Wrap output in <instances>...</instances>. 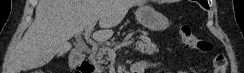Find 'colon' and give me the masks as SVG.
Here are the masks:
<instances>
[{
	"label": "colon",
	"mask_w": 244,
	"mask_h": 73,
	"mask_svg": "<svg viewBox=\"0 0 244 73\" xmlns=\"http://www.w3.org/2000/svg\"><path fill=\"white\" fill-rule=\"evenodd\" d=\"M178 36L181 42L192 50L202 53H209L213 50V45L203 39L198 38L187 24H181L178 27ZM214 73H227L228 62L224 54L216 53L213 56Z\"/></svg>",
	"instance_id": "1"
}]
</instances>
